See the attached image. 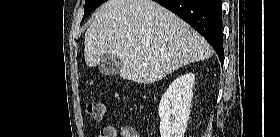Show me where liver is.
I'll return each instance as SVG.
<instances>
[{
	"instance_id": "6515ba94",
	"label": "liver",
	"mask_w": 280,
	"mask_h": 137,
	"mask_svg": "<svg viewBox=\"0 0 280 137\" xmlns=\"http://www.w3.org/2000/svg\"><path fill=\"white\" fill-rule=\"evenodd\" d=\"M108 53L123 61L122 78L148 84L208 59L213 49L190 25L152 0H108L85 33L86 65L97 66Z\"/></svg>"
}]
</instances>
